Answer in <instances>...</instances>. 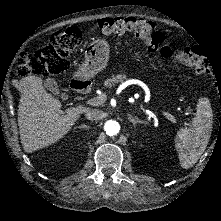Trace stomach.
<instances>
[{"instance_id": "0dacf381", "label": "stomach", "mask_w": 221, "mask_h": 221, "mask_svg": "<svg viewBox=\"0 0 221 221\" xmlns=\"http://www.w3.org/2000/svg\"><path fill=\"white\" fill-rule=\"evenodd\" d=\"M108 54V46L104 41L96 40L91 43L85 52L84 64L78 67V76L84 80L94 77L106 67Z\"/></svg>"}]
</instances>
